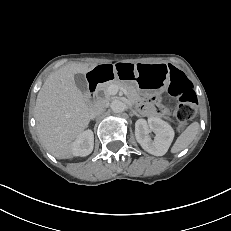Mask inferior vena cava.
Wrapping results in <instances>:
<instances>
[{
  "label": "inferior vena cava",
  "mask_w": 231,
  "mask_h": 231,
  "mask_svg": "<svg viewBox=\"0 0 231 231\" xmlns=\"http://www.w3.org/2000/svg\"><path fill=\"white\" fill-rule=\"evenodd\" d=\"M106 104L103 101H97L91 107L90 117L94 118L99 116L105 109Z\"/></svg>",
  "instance_id": "1"
}]
</instances>
